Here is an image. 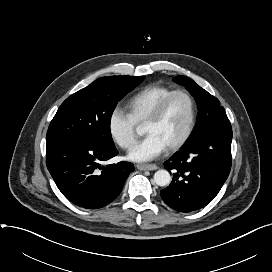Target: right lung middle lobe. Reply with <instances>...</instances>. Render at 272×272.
Instances as JSON below:
<instances>
[{
    "mask_svg": "<svg viewBox=\"0 0 272 272\" xmlns=\"http://www.w3.org/2000/svg\"><path fill=\"white\" fill-rule=\"evenodd\" d=\"M135 76L101 77L68 97L47 131V147L63 141L92 139L113 147L110 120L117 103L143 80Z\"/></svg>",
    "mask_w": 272,
    "mask_h": 272,
    "instance_id": "right-lung-middle-lobe-1",
    "label": "right lung middle lobe"
}]
</instances>
